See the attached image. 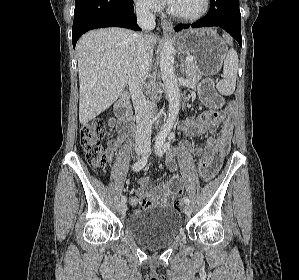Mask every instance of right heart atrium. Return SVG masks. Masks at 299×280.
I'll return each instance as SVG.
<instances>
[{"label":"right heart atrium","instance_id":"obj_1","mask_svg":"<svg viewBox=\"0 0 299 280\" xmlns=\"http://www.w3.org/2000/svg\"><path fill=\"white\" fill-rule=\"evenodd\" d=\"M141 7L156 11L161 7V0H136Z\"/></svg>","mask_w":299,"mask_h":280}]
</instances>
